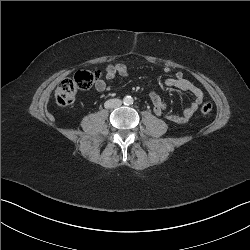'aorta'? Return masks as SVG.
<instances>
[{
    "instance_id": "obj_1",
    "label": "aorta",
    "mask_w": 250,
    "mask_h": 250,
    "mask_svg": "<svg viewBox=\"0 0 250 250\" xmlns=\"http://www.w3.org/2000/svg\"><path fill=\"white\" fill-rule=\"evenodd\" d=\"M123 102L125 105H130L133 103V98L131 96H126L124 99H123Z\"/></svg>"
}]
</instances>
